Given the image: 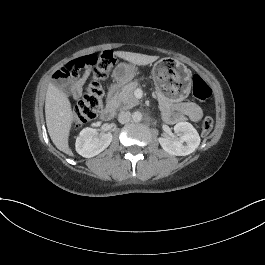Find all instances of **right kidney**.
<instances>
[{
    "mask_svg": "<svg viewBox=\"0 0 265 265\" xmlns=\"http://www.w3.org/2000/svg\"><path fill=\"white\" fill-rule=\"evenodd\" d=\"M112 141V132L99 136L98 129L87 127L76 140V150L83 157L92 158L106 150Z\"/></svg>",
    "mask_w": 265,
    "mask_h": 265,
    "instance_id": "ca27d5eb",
    "label": "right kidney"
}]
</instances>
